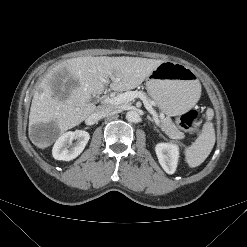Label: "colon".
<instances>
[{
    "mask_svg": "<svg viewBox=\"0 0 247 247\" xmlns=\"http://www.w3.org/2000/svg\"><path fill=\"white\" fill-rule=\"evenodd\" d=\"M198 119V110L192 108L179 117L178 125L185 131L195 133L198 132Z\"/></svg>",
    "mask_w": 247,
    "mask_h": 247,
    "instance_id": "obj_1",
    "label": "colon"
}]
</instances>
